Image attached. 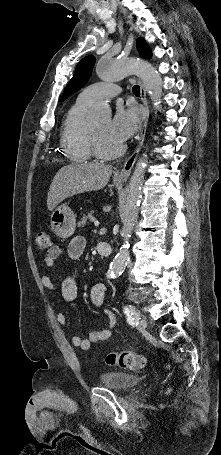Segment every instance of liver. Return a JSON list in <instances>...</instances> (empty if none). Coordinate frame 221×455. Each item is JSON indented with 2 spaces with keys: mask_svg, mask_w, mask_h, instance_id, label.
<instances>
[{
  "mask_svg": "<svg viewBox=\"0 0 221 455\" xmlns=\"http://www.w3.org/2000/svg\"><path fill=\"white\" fill-rule=\"evenodd\" d=\"M113 173L111 165L104 163H80L63 166L50 185L47 207L52 211L68 197L104 188Z\"/></svg>",
  "mask_w": 221,
  "mask_h": 455,
  "instance_id": "liver-1",
  "label": "liver"
}]
</instances>
